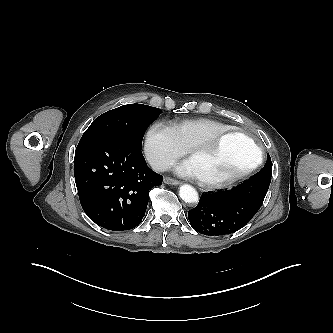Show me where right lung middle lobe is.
<instances>
[{"label":"right lung middle lobe","mask_w":333,"mask_h":333,"mask_svg":"<svg viewBox=\"0 0 333 333\" xmlns=\"http://www.w3.org/2000/svg\"><path fill=\"white\" fill-rule=\"evenodd\" d=\"M159 108L127 104L97 117L81 140L112 139L141 148L147 127L158 118Z\"/></svg>","instance_id":"obj_1"}]
</instances>
